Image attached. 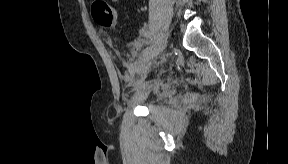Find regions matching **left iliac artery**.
Listing matches in <instances>:
<instances>
[{
  "label": "left iliac artery",
  "instance_id": "left-iliac-artery-1",
  "mask_svg": "<svg viewBox=\"0 0 288 164\" xmlns=\"http://www.w3.org/2000/svg\"><path fill=\"white\" fill-rule=\"evenodd\" d=\"M155 45H156V43H154L153 45H151L150 47H148V48L146 49V51L139 57L138 60H139V61H143V60L148 59V58L151 56Z\"/></svg>",
  "mask_w": 288,
  "mask_h": 164
}]
</instances>
